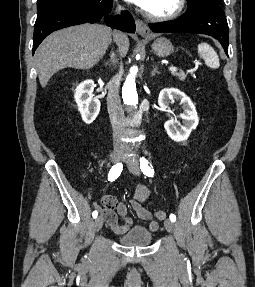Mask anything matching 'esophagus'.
Segmentation results:
<instances>
[{"mask_svg":"<svg viewBox=\"0 0 255 287\" xmlns=\"http://www.w3.org/2000/svg\"><path fill=\"white\" fill-rule=\"evenodd\" d=\"M136 31L141 35L142 37H147L150 34V29L146 23H144L142 20L136 19Z\"/></svg>","mask_w":255,"mask_h":287,"instance_id":"esophagus-1","label":"esophagus"}]
</instances>
